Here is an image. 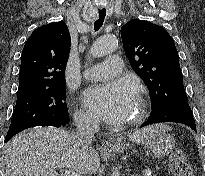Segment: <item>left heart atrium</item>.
<instances>
[{"instance_id": "left-heart-atrium-1", "label": "left heart atrium", "mask_w": 205, "mask_h": 176, "mask_svg": "<svg viewBox=\"0 0 205 176\" xmlns=\"http://www.w3.org/2000/svg\"><path fill=\"white\" fill-rule=\"evenodd\" d=\"M137 91L127 80H114L89 87L84 92L86 106L110 123L127 118L136 103Z\"/></svg>"}]
</instances>
